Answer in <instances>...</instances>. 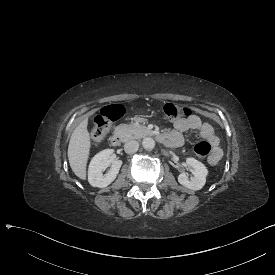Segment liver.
Listing matches in <instances>:
<instances>
[{
  "label": "liver",
  "mask_w": 275,
  "mask_h": 275,
  "mask_svg": "<svg viewBox=\"0 0 275 275\" xmlns=\"http://www.w3.org/2000/svg\"><path fill=\"white\" fill-rule=\"evenodd\" d=\"M87 125L88 119H84L75 128L68 146L70 167L75 175L81 179H86V164L90 150V136Z\"/></svg>",
  "instance_id": "6515ba94"
}]
</instances>
